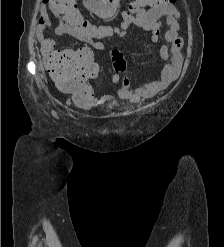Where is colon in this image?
<instances>
[{
    "label": "colon",
    "mask_w": 224,
    "mask_h": 247,
    "mask_svg": "<svg viewBox=\"0 0 224 247\" xmlns=\"http://www.w3.org/2000/svg\"><path fill=\"white\" fill-rule=\"evenodd\" d=\"M58 8L64 22L72 26L77 32L91 39H105L119 36L113 26L96 25L83 17L77 7V0H57ZM176 0H132L124 14V26L127 29L130 17L146 7L158 8L173 5ZM113 69L122 73L126 68L123 55L114 50L111 53ZM46 69L55 83L63 90L73 93L74 101L80 106H92L96 102L88 81L98 73V67L92 61L91 52L82 49L70 55H50L45 62Z\"/></svg>",
    "instance_id": "obj_1"
}]
</instances>
